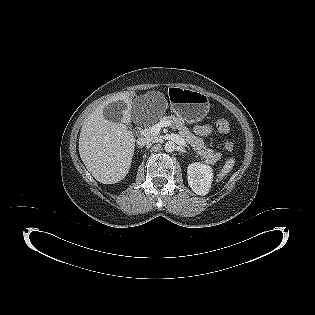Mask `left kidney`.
Instances as JSON below:
<instances>
[{
    "label": "left kidney",
    "mask_w": 315,
    "mask_h": 315,
    "mask_svg": "<svg viewBox=\"0 0 315 315\" xmlns=\"http://www.w3.org/2000/svg\"><path fill=\"white\" fill-rule=\"evenodd\" d=\"M188 184L198 195H206L211 187L213 170L202 163H192L187 168Z\"/></svg>",
    "instance_id": "obj_1"
}]
</instances>
